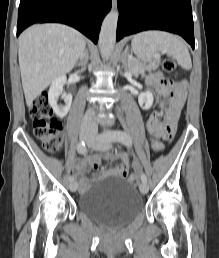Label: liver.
I'll return each mask as SVG.
<instances>
[{"label": "liver", "mask_w": 219, "mask_h": 258, "mask_svg": "<svg viewBox=\"0 0 219 258\" xmlns=\"http://www.w3.org/2000/svg\"><path fill=\"white\" fill-rule=\"evenodd\" d=\"M85 40L75 29L61 24L33 25L19 37V66L26 104L57 77L69 73L83 55Z\"/></svg>", "instance_id": "6515ba94"}]
</instances>
